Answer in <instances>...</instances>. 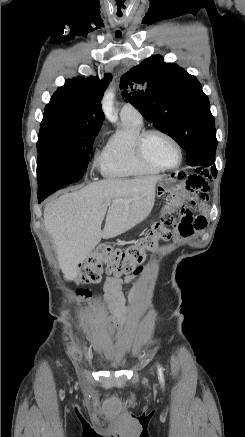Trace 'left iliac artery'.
I'll return each instance as SVG.
<instances>
[{
  "instance_id": "44dca946",
  "label": "left iliac artery",
  "mask_w": 245,
  "mask_h": 437,
  "mask_svg": "<svg viewBox=\"0 0 245 437\" xmlns=\"http://www.w3.org/2000/svg\"><path fill=\"white\" fill-rule=\"evenodd\" d=\"M158 375H159L160 383L162 385H164V376H163V371H162V368L160 365H158Z\"/></svg>"
}]
</instances>
